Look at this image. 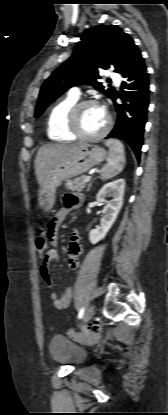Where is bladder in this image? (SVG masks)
Returning a JSON list of instances; mask_svg holds the SVG:
<instances>
[{"instance_id":"1","label":"bladder","mask_w":168,"mask_h":415,"mask_svg":"<svg viewBox=\"0 0 168 415\" xmlns=\"http://www.w3.org/2000/svg\"><path fill=\"white\" fill-rule=\"evenodd\" d=\"M49 353L54 361L71 366H78L87 357L84 348L60 334H56L51 338Z\"/></svg>"}]
</instances>
